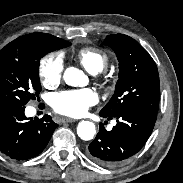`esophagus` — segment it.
<instances>
[{
	"instance_id": "obj_1",
	"label": "esophagus",
	"mask_w": 183,
	"mask_h": 183,
	"mask_svg": "<svg viewBox=\"0 0 183 183\" xmlns=\"http://www.w3.org/2000/svg\"><path fill=\"white\" fill-rule=\"evenodd\" d=\"M61 120H62L63 123H66V122H75L76 121L75 119L69 118V117H63Z\"/></svg>"
}]
</instances>
